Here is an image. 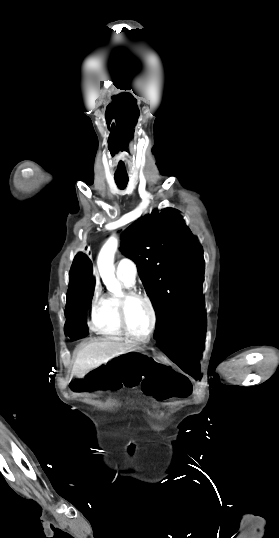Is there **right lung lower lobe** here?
<instances>
[{"mask_svg": "<svg viewBox=\"0 0 279 538\" xmlns=\"http://www.w3.org/2000/svg\"><path fill=\"white\" fill-rule=\"evenodd\" d=\"M92 262L82 253L76 255L71 270L65 310V334L70 337H84L88 334L86 326V307L93 297Z\"/></svg>", "mask_w": 279, "mask_h": 538, "instance_id": "obj_1", "label": "right lung lower lobe"}]
</instances>
